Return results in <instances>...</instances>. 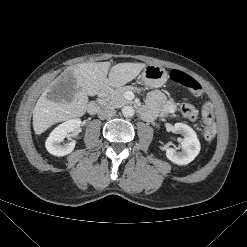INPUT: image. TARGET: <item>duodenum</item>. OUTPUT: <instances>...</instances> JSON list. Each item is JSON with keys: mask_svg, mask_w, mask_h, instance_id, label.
Returning <instances> with one entry per match:
<instances>
[{"mask_svg": "<svg viewBox=\"0 0 247 247\" xmlns=\"http://www.w3.org/2000/svg\"><path fill=\"white\" fill-rule=\"evenodd\" d=\"M110 90H111V85L109 83H106L102 86L97 99L91 101L87 106V112L90 115H94L99 112V110L102 107L103 101L108 96Z\"/></svg>", "mask_w": 247, "mask_h": 247, "instance_id": "1", "label": "duodenum"}]
</instances>
